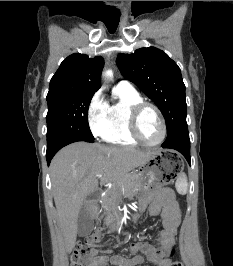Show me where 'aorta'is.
<instances>
[{
  "instance_id": "762f6f07",
  "label": "aorta",
  "mask_w": 233,
  "mask_h": 266,
  "mask_svg": "<svg viewBox=\"0 0 233 266\" xmlns=\"http://www.w3.org/2000/svg\"><path fill=\"white\" fill-rule=\"evenodd\" d=\"M106 73H107L108 75H112V74H113L111 70H108Z\"/></svg>"
}]
</instances>
